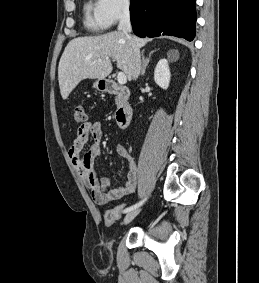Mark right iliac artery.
Segmentation results:
<instances>
[{
	"instance_id": "obj_1",
	"label": "right iliac artery",
	"mask_w": 259,
	"mask_h": 283,
	"mask_svg": "<svg viewBox=\"0 0 259 283\" xmlns=\"http://www.w3.org/2000/svg\"><path fill=\"white\" fill-rule=\"evenodd\" d=\"M146 200H147V197H146L145 199H143L142 201L136 203L135 205H132V206L126 208V209L124 210V213L130 212V211H132V210H134V209L140 207Z\"/></svg>"
}]
</instances>
